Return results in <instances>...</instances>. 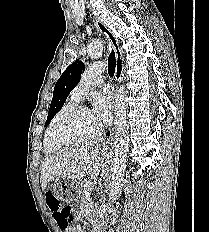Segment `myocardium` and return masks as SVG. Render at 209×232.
<instances>
[{
  "label": "myocardium",
  "mask_w": 209,
  "mask_h": 232,
  "mask_svg": "<svg viewBox=\"0 0 209 232\" xmlns=\"http://www.w3.org/2000/svg\"><path fill=\"white\" fill-rule=\"evenodd\" d=\"M87 109V107L85 105H75L72 108L68 109L67 111H65L60 117L59 119L53 123L50 124L49 126V135H50V139L51 141L56 144V145H69L75 142H80V141H85L88 139H92L95 138L97 136H99L102 132V126L99 125V127L97 128L96 131H94L93 133L84 135V136H78V137H60L56 134V128L59 124L69 120L72 117H75L76 115H78L79 113H81L83 110Z\"/></svg>",
  "instance_id": "obj_1"
}]
</instances>
